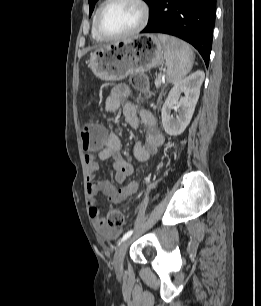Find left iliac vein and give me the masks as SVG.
<instances>
[{"label":"left iliac vein","instance_id":"4c4485c4","mask_svg":"<svg viewBox=\"0 0 261 306\" xmlns=\"http://www.w3.org/2000/svg\"><path fill=\"white\" fill-rule=\"evenodd\" d=\"M131 242V238H128L124 240L116 249L115 255H114V260H113V265L116 270H119L123 267V261H124V256L127 247L129 246Z\"/></svg>","mask_w":261,"mask_h":306}]
</instances>
